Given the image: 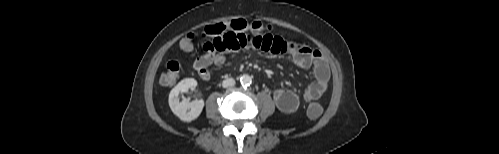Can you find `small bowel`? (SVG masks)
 <instances>
[{"label":"small bowel","instance_id":"1","mask_svg":"<svg viewBox=\"0 0 499 154\" xmlns=\"http://www.w3.org/2000/svg\"><path fill=\"white\" fill-rule=\"evenodd\" d=\"M253 48L273 55L289 56L302 69L313 68L314 81L304 91L302 100L312 102L319 99L328 89L330 70L328 62L319 50L289 40L282 35L266 31H227L203 45L204 54L199 56L193 69L203 80L210 79L208 67L222 65L226 55L242 49ZM276 107L284 113L295 112L300 97L287 88H278L273 93Z\"/></svg>","mask_w":499,"mask_h":154}]
</instances>
